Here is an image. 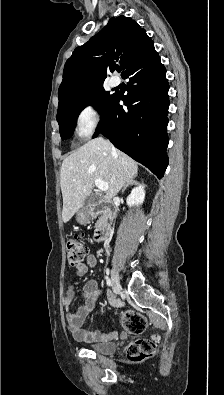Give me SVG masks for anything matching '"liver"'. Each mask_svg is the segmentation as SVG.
<instances>
[{
  "mask_svg": "<svg viewBox=\"0 0 224 395\" xmlns=\"http://www.w3.org/2000/svg\"><path fill=\"white\" fill-rule=\"evenodd\" d=\"M137 172L136 161L101 137L79 147L61 167L63 222L67 223L83 207L96 179L108 183L105 200L110 201Z\"/></svg>",
  "mask_w": 224,
  "mask_h": 395,
  "instance_id": "liver-1",
  "label": "liver"
}]
</instances>
